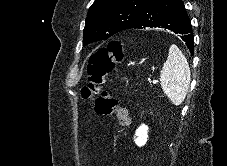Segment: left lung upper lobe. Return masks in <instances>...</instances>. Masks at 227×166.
<instances>
[{
  "label": "left lung upper lobe",
  "instance_id": "5c2ea615",
  "mask_svg": "<svg viewBox=\"0 0 227 166\" xmlns=\"http://www.w3.org/2000/svg\"><path fill=\"white\" fill-rule=\"evenodd\" d=\"M147 0H95L85 21L83 45L131 29Z\"/></svg>",
  "mask_w": 227,
  "mask_h": 166
}]
</instances>
